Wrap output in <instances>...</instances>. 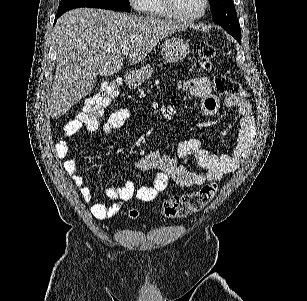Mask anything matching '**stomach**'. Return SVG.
Masks as SVG:
<instances>
[{
    "label": "stomach",
    "instance_id": "1",
    "mask_svg": "<svg viewBox=\"0 0 307 301\" xmlns=\"http://www.w3.org/2000/svg\"><path fill=\"white\" fill-rule=\"evenodd\" d=\"M189 52L190 46L187 40L179 38V36L166 38L161 44V54L164 62H179V60H183ZM152 72H154V70L151 64H143L140 68L127 72L124 76L125 82L131 84V86H139V84H142V82H145V80L151 76Z\"/></svg>",
    "mask_w": 307,
    "mask_h": 301
}]
</instances>
